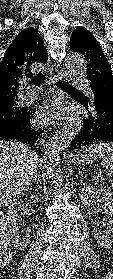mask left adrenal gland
<instances>
[{"mask_svg": "<svg viewBox=\"0 0 113 279\" xmlns=\"http://www.w3.org/2000/svg\"><path fill=\"white\" fill-rule=\"evenodd\" d=\"M79 175H80V176H83V174H82V172H81V171H79Z\"/></svg>", "mask_w": 113, "mask_h": 279, "instance_id": "1", "label": "left adrenal gland"}]
</instances>
